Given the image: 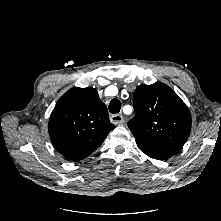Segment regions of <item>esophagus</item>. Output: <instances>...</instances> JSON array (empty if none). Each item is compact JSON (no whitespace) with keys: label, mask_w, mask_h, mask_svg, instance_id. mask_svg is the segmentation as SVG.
Returning a JSON list of instances; mask_svg holds the SVG:
<instances>
[{"label":"esophagus","mask_w":221,"mask_h":221,"mask_svg":"<svg viewBox=\"0 0 221 221\" xmlns=\"http://www.w3.org/2000/svg\"><path fill=\"white\" fill-rule=\"evenodd\" d=\"M110 121L115 125H120L123 123L124 117L122 114H114L110 117Z\"/></svg>","instance_id":"esophagus-1"}]
</instances>
